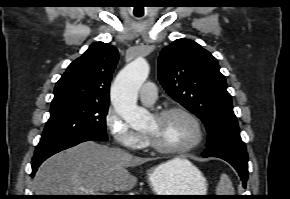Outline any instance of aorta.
Wrapping results in <instances>:
<instances>
[{
    "mask_svg": "<svg viewBox=\"0 0 290 199\" xmlns=\"http://www.w3.org/2000/svg\"><path fill=\"white\" fill-rule=\"evenodd\" d=\"M149 70L147 61L137 58L119 72L111 88L115 110L134 129L144 128L150 121L149 112L137 105L138 91Z\"/></svg>",
    "mask_w": 290,
    "mask_h": 199,
    "instance_id": "1",
    "label": "aorta"
}]
</instances>
